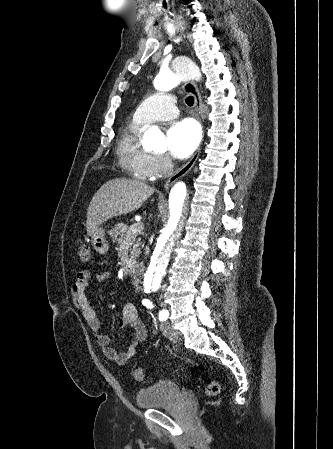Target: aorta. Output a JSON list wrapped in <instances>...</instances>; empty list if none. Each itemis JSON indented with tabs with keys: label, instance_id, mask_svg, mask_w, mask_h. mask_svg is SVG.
<instances>
[{
	"label": "aorta",
	"instance_id": "obj_1",
	"mask_svg": "<svg viewBox=\"0 0 333 449\" xmlns=\"http://www.w3.org/2000/svg\"><path fill=\"white\" fill-rule=\"evenodd\" d=\"M173 70L161 71L154 80L158 91H168L183 81L200 80L199 67L190 59H173ZM143 140L150 149L164 152L167 144L164 135L157 127L145 131ZM189 185L184 181L177 182L169 194L168 222L158 232L150 258V263L144 276L143 293L157 291L165 275L175 241L181 234L183 221L187 216L189 202Z\"/></svg>",
	"mask_w": 333,
	"mask_h": 449
}]
</instances>
